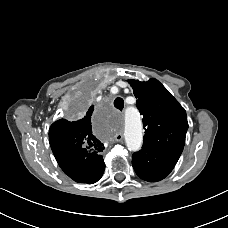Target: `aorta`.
I'll return each instance as SVG.
<instances>
[{"label":"aorta","instance_id":"1","mask_svg":"<svg viewBox=\"0 0 228 228\" xmlns=\"http://www.w3.org/2000/svg\"><path fill=\"white\" fill-rule=\"evenodd\" d=\"M124 137L130 151H138L143 142L142 122L135 108H127L124 120Z\"/></svg>","mask_w":228,"mask_h":228}]
</instances>
